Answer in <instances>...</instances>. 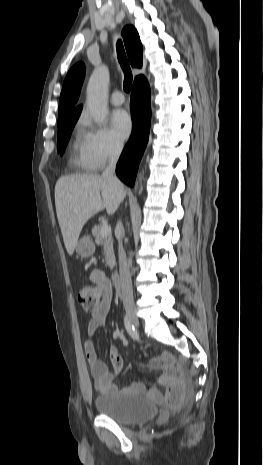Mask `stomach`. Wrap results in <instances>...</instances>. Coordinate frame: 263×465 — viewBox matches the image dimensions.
I'll use <instances>...</instances> for the list:
<instances>
[{
  "label": "stomach",
  "mask_w": 263,
  "mask_h": 465,
  "mask_svg": "<svg viewBox=\"0 0 263 465\" xmlns=\"http://www.w3.org/2000/svg\"><path fill=\"white\" fill-rule=\"evenodd\" d=\"M76 252L81 258H89L95 252V245L88 235L81 237L76 244Z\"/></svg>",
  "instance_id": "0dacf381"
}]
</instances>
